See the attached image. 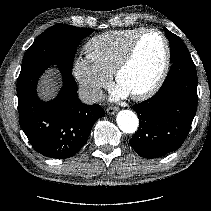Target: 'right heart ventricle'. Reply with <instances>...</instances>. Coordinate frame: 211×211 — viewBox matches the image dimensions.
Here are the masks:
<instances>
[{
	"label": "right heart ventricle",
	"instance_id": "right-heart-ventricle-1",
	"mask_svg": "<svg viewBox=\"0 0 211 211\" xmlns=\"http://www.w3.org/2000/svg\"><path fill=\"white\" fill-rule=\"evenodd\" d=\"M143 29L114 30L95 36L85 45L87 56L99 69L111 76L135 36Z\"/></svg>",
	"mask_w": 211,
	"mask_h": 211
}]
</instances>
